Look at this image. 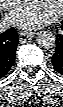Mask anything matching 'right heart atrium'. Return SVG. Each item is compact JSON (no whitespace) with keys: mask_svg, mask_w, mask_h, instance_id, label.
I'll return each mask as SVG.
<instances>
[{"mask_svg":"<svg viewBox=\"0 0 63 107\" xmlns=\"http://www.w3.org/2000/svg\"><path fill=\"white\" fill-rule=\"evenodd\" d=\"M17 4L16 0H6L3 2V5L6 9H11Z\"/></svg>","mask_w":63,"mask_h":107,"instance_id":"right-heart-atrium-1","label":"right heart atrium"}]
</instances>
